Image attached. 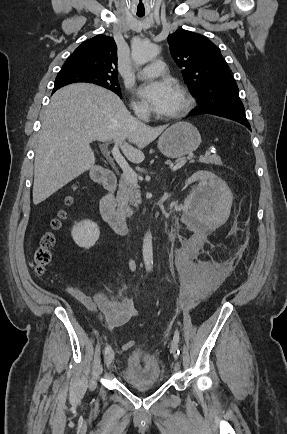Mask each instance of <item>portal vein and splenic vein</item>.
<instances>
[{"instance_id":"portal-vein-and-splenic-vein-1","label":"portal vein and splenic vein","mask_w":287,"mask_h":434,"mask_svg":"<svg viewBox=\"0 0 287 434\" xmlns=\"http://www.w3.org/2000/svg\"><path fill=\"white\" fill-rule=\"evenodd\" d=\"M119 143L115 142L114 147L111 149V153L117 164L120 166V168L123 171V175L130 183H137V174L132 170V168L129 166L125 158L122 156V154L119 151ZM187 162V159H181L178 161L174 166L171 167V170L173 172L180 169L182 166L185 165Z\"/></svg>"}]
</instances>
